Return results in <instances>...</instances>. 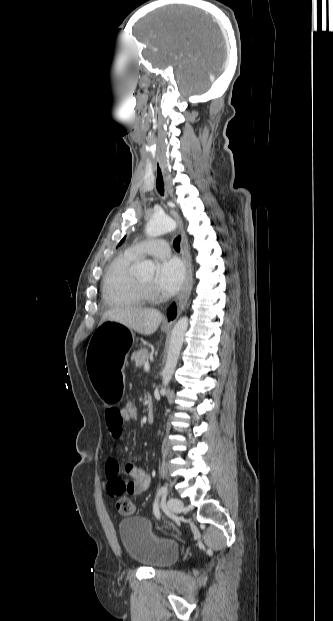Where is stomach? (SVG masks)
<instances>
[{
	"label": "stomach",
	"instance_id": "0dacf381",
	"mask_svg": "<svg viewBox=\"0 0 333 621\" xmlns=\"http://www.w3.org/2000/svg\"><path fill=\"white\" fill-rule=\"evenodd\" d=\"M135 340V333L126 326L104 322L93 334L86 354L87 372L93 389L114 410L126 389L124 380L125 354Z\"/></svg>",
	"mask_w": 333,
	"mask_h": 621
}]
</instances>
